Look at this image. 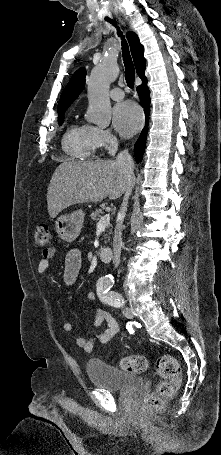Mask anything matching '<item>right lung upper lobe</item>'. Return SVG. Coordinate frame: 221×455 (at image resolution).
Here are the masks:
<instances>
[{
  "label": "right lung upper lobe",
  "instance_id": "obj_1",
  "mask_svg": "<svg viewBox=\"0 0 221 455\" xmlns=\"http://www.w3.org/2000/svg\"><path fill=\"white\" fill-rule=\"evenodd\" d=\"M128 42L130 44L131 53L137 70V74L140 78L144 76L146 60L143 56L144 48L140 44L138 36L129 31L126 34ZM85 69H79L76 71L68 85L65 87L61 98L58 102V110L67 109L70 104L78 97L79 93L83 90L85 84Z\"/></svg>",
  "mask_w": 221,
  "mask_h": 455
}]
</instances>
